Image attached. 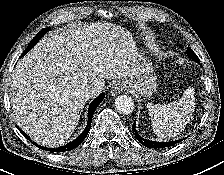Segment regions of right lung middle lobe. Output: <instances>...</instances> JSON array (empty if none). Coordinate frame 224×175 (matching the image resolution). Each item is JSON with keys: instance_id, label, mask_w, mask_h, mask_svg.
<instances>
[{"instance_id": "dd1d6c3e", "label": "right lung middle lobe", "mask_w": 224, "mask_h": 175, "mask_svg": "<svg viewBox=\"0 0 224 175\" xmlns=\"http://www.w3.org/2000/svg\"><path fill=\"white\" fill-rule=\"evenodd\" d=\"M51 30V28H44V29H42L35 37H34V39L31 41V42H33V41H36V43L39 41V39L46 33V32H48V31H50ZM31 42H30V44H31ZM29 44V45H30Z\"/></svg>"}]
</instances>
